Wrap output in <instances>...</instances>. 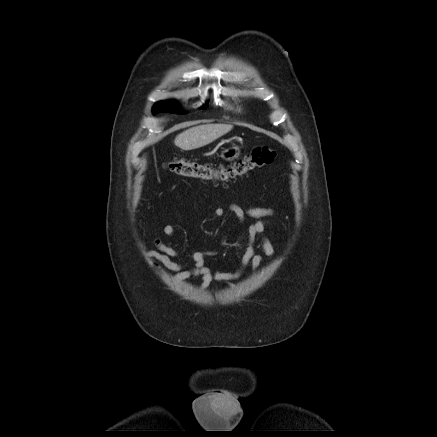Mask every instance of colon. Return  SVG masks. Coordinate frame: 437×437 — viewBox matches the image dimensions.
<instances>
[{
    "label": "colon",
    "instance_id": "1",
    "mask_svg": "<svg viewBox=\"0 0 437 437\" xmlns=\"http://www.w3.org/2000/svg\"><path fill=\"white\" fill-rule=\"evenodd\" d=\"M277 153L268 146H257L243 157L230 163H199L187 159H174L166 163L170 172L204 180H227L244 175L251 170L267 166L275 161Z\"/></svg>",
    "mask_w": 437,
    "mask_h": 437
}]
</instances>
